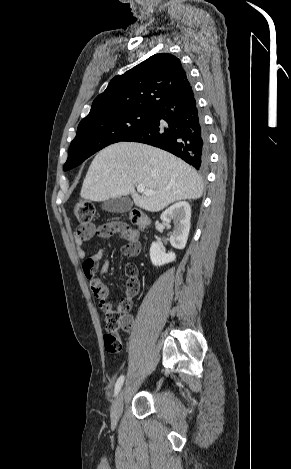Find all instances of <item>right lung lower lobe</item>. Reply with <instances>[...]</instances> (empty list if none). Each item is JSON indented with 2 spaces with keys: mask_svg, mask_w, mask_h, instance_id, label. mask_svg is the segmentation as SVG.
I'll return each instance as SVG.
<instances>
[{
  "mask_svg": "<svg viewBox=\"0 0 291 469\" xmlns=\"http://www.w3.org/2000/svg\"><path fill=\"white\" fill-rule=\"evenodd\" d=\"M122 141L164 149L200 171L209 162L208 138L191 86L171 93L154 108L144 126Z\"/></svg>",
  "mask_w": 291,
  "mask_h": 469,
  "instance_id": "98d812e1",
  "label": "right lung lower lobe"
}]
</instances>
